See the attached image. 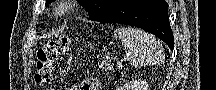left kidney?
Segmentation results:
<instances>
[{
  "label": "left kidney",
  "instance_id": "1",
  "mask_svg": "<svg viewBox=\"0 0 216 90\" xmlns=\"http://www.w3.org/2000/svg\"><path fill=\"white\" fill-rule=\"evenodd\" d=\"M122 90H148V84L145 80H132L123 84Z\"/></svg>",
  "mask_w": 216,
  "mask_h": 90
}]
</instances>
